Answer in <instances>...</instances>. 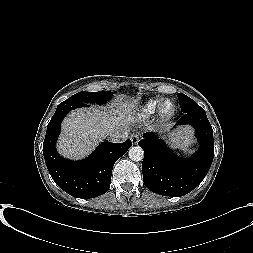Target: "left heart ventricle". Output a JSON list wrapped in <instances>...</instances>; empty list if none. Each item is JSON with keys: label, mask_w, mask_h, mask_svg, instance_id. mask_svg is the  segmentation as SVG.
I'll list each match as a JSON object with an SVG mask.
<instances>
[{"label": "left heart ventricle", "mask_w": 253, "mask_h": 253, "mask_svg": "<svg viewBox=\"0 0 253 253\" xmlns=\"http://www.w3.org/2000/svg\"><path fill=\"white\" fill-rule=\"evenodd\" d=\"M171 109V105L170 104H167L166 105V110H170Z\"/></svg>", "instance_id": "obj_1"}]
</instances>
